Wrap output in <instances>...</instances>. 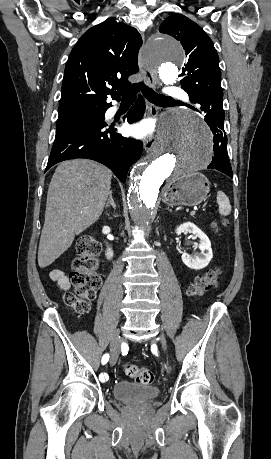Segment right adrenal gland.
<instances>
[{
    "mask_svg": "<svg viewBox=\"0 0 271 459\" xmlns=\"http://www.w3.org/2000/svg\"><path fill=\"white\" fill-rule=\"evenodd\" d=\"M110 206H112V208H114V210H116V206H115V202L113 200L112 192H110V194H109V198H108V200L106 202L105 210H107V208H110Z\"/></svg>",
    "mask_w": 271,
    "mask_h": 459,
    "instance_id": "2a0ac1e0",
    "label": "right adrenal gland"
}]
</instances>
